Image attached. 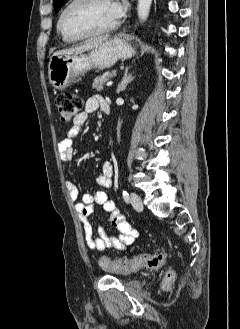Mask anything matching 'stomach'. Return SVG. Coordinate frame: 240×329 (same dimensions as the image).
<instances>
[{
	"mask_svg": "<svg viewBox=\"0 0 240 329\" xmlns=\"http://www.w3.org/2000/svg\"><path fill=\"white\" fill-rule=\"evenodd\" d=\"M135 49L123 37L101 42L88 54L53 55L48 65L49 81L55 89L64 90L76 82V78L92 68L105 69L119 59H129Z\"/></svg>",
	"mask_w": 240,
	"mask_h": 329,
	"instance_id": "0dacf381",
	"label": "stomach"
}]
</instances>
